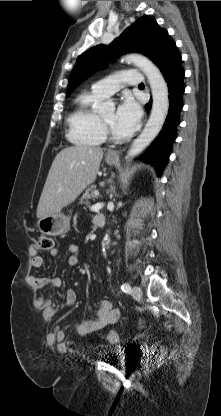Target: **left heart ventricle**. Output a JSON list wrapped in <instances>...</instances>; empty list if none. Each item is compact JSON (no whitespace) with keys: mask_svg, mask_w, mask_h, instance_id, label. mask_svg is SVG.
Here are the masks:
<instances>
[{"mask_svg":"<svg viewBox=\"0 0 221 416\" xmlns=\"http://www.w3.org/2000/svg\"><path fill=\"white\" fill-rule=\"evenodd\" d=\"M101 117L104 119L105 122L108 123V125L111 127L113 133L116 136H122L116 129L115 127V122H114V118H115V112L114 110H110L104 114L101 115Z\"/></svg>","mask_w":221,"mask_h":416,"instance_id":"b2bd125f","label":"left heart ventricle"}]
</instances>
